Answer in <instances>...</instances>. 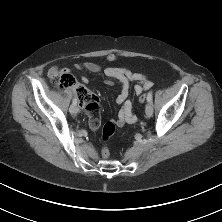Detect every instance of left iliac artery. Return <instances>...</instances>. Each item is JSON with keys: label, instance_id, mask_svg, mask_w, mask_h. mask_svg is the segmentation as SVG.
Here are the masks:
<instances>
[{"label": "left iliac artery", "instance_id": "1", "mask_svg": "<svg viewBox=\"0 0 222 222\" xmlns=\"http://www.w3.org/2000/svg\"><path fill=\"white\" fill-rule=\"evenodd\" d=\"M152 98H153L152 92H149L148 95H147V101H148V102H151V101H152Z\"/></svg>", "mask_w": 222, "mask_h": 222}]
</instances>
